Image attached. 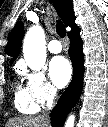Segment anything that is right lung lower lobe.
Wrapping results in <instances>:
<instances>
[{"mask_svg": "<svg viewBox=\"0 0 108 127\" xmlns=\"http://www.w3.org/2000/svg\"><path fill=\"white\" fill-rule=\"evenodd\" d=\"M79 32L80 30L77 26L68 32L70 39L69 56L73 65V79L51 113V124L53 127H63L66 116L76 105L81 94L84 58L82 53L83 43Z\"/></svg>", "mask_w": 108, "mask_h": 127, "instance_id": "obj_1", "label": "right lung lower lobe"}]
</instances>
